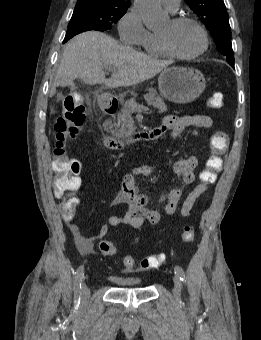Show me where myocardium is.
Here are the masks:
<instances>
[{"label": "myocardium", "mask_w": 261, "mask_h": 340, "mask_svg": "<svg viewBox=\"0 0 261 340\" xmlns=\"http://www.w3.org/2000/svg\"><path fill=\"white\" fill-rule=\"evenodd\" d=\"M171 22L174 25H180V24H183V23L193 24L200 31L203 43H202V47L198 51H196L195 53H192V54H189V55H184V54H180V53L176 52L171 47L169 41L165 37L158 35L160 45L167 55L174 57V58H177V59H180V60L190 61V60H194V59L200 57L201 55H203L207 51L208 46H209L208 33H207L206 29L204 28V26L197 19L190 17V16H177V17H174L171 20Z\"/></svg>", "instance_id": "obj_1"}]
</instances>
